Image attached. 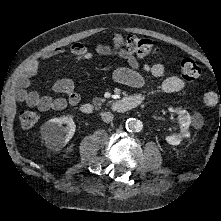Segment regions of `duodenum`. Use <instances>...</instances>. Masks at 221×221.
Returning <instances> with one entry per match:
<instances>
[{
	"label": "duodenum",
	"instance_id": "410a0bca",
	"mask_svg": "<svg viewBox=\"0 0 221 221\" xmlns=\"http://www.w3.org/2000/svg\"><path fill=\"white\" fill-rule=\"evenodd\" d=\"M143 101V98L139 95H133L124 97L122 99L115 100L111 103V109L116 112H126L137 106H139ZM80 111L84 114L95 113V107L90 103H85L81 105Z\"/></svg>",
	"mask_w": 221,
	"mask_h": 221
}]
</instances>
